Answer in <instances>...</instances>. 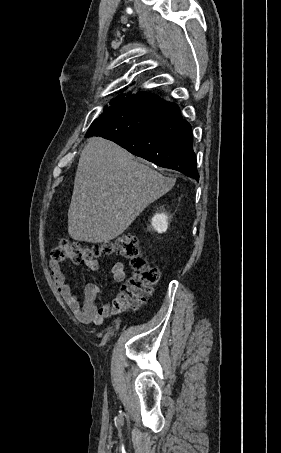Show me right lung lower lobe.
Returning <instances> with one entry per match:
<instances>
[{
    "instance_id": "right-lung-lower-lobe-1",
    "label": "right lung lower lobe",
    "mask_w": 281,
    "mask_h": 453,
    "mask_svg": "<svg viewBox=\"0 0 281 453\" xmlns=\"http://www.w3.org/2000/svg\"><path fill=\"white\" fill-rule=\"evenodd\" d=\"M105 110L93 121L86 137L109 139L160 167L199 179L192 128L176 104L146 93Z\"/></svg>"
}]
</instances>
